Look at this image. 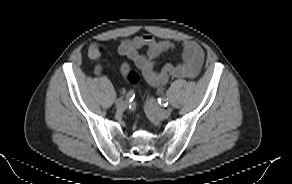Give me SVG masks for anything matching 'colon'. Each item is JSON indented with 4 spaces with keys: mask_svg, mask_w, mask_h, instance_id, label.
I'll use <instances>...</instances> for the list:
<instances>
[{
    "mask_svg": "<svg viewBox=\"0 0 292 184\" xmlns=\"http://www.w3.org/2000/svg\"><path fill=\"white\" fill-rule=\"evenodd\" d=\"M103 48L98 43H93L88 48V57L91 60H98L102 56ZM123 74L131 84H136L139 80L137 73L128 67L123 68Z\"/></svg>",
    "mask_w": 292,
    "mask_h": 184,
    "instance_id": "5ec220e1",
    "label": "colon"
}]
</instances>
